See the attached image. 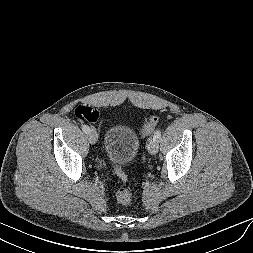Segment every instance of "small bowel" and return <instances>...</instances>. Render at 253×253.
I'll return each mask as SVG.
<instances>
[{
    "instance_id": "small-bowel-1",
    "label": "small bowel",
    "mask_w": 253,
    "mask_h": 253,
    "mask_svg": "<svg viewBox=\"0 0 253 253\" xmlns=\"http://www.w3.org/2000/svg\"><path fill=\"white\" fill-rule=\"evenodd\" d=\"M98 115H99V114H98V111H96V118H95V120L98 118ZM95 120H94V121H95Z\"/></svg>"
}]
</instances>
